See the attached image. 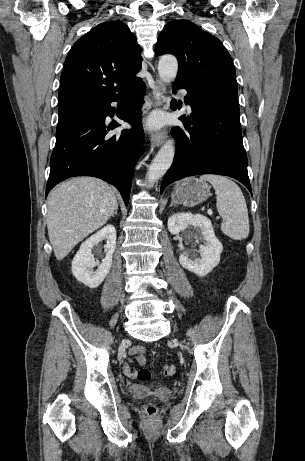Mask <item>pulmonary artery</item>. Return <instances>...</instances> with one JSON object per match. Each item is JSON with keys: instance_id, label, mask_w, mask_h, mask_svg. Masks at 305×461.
Returning <instances> with one entry per match:
<instances>
[{"instance_id": "1", "label": "pulmonary artery", "mask_w": 305, "mask_h": 461, "mask_svg": "<svg viewBox=\"0 0 305 461\" xmlns=\"http://www.w3.org/2000/svg\"><path fill=\"white\" fill-rule=\"evenodd\" d=\"M181 93L184 97L187 95V92L185 90H182Z\"/></svg>"}]
</instances>
